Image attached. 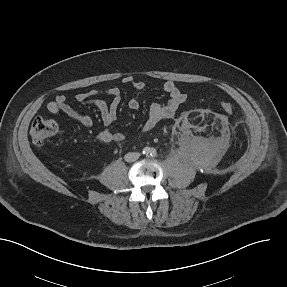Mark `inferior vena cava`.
Instances as JSON below:
<instances>
[{
  "label": "inferior vena cava",
  "instance_id": "1",
  "mask_svg": "<svg viewBox=\"0 0 287 287\" xmlns=\"http://www.w3.org/2000/svg\"><path fill=\"white\" fill-rule=\"evenodd\" d=\"M140 157L139 153L136 152H129L125 154L124 159L126 162H134Z\"/></svg>",
  "mask_w": 287,
  "mask_h": 287
}]
</instances>
